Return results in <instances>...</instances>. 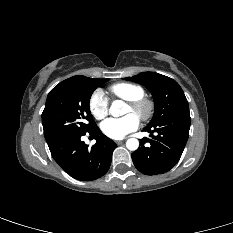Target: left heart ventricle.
<instances>
[{"label": "left heart ventricle", "mask_w": 233, "mask_h": 233, "mask_svg": "<svg viewBox=\"0 0 233 233\" xmlns=\"http://www.w3.org/2000/svg\"><path fill=\"white\" fill-rule=\"evenodd\" d=\"M124 113H125V114H130V113H133V112L131 111V109H130L128 106H126V107H125ZM133 114H134V113H133ZM134 115H135V114H134Z\"/></svg>", "instance_id": "b2bd125f"}]
</instances>
